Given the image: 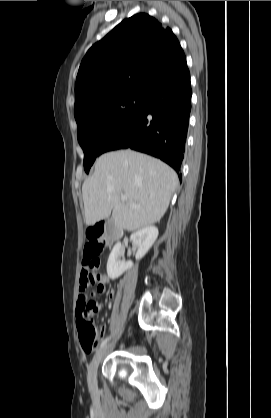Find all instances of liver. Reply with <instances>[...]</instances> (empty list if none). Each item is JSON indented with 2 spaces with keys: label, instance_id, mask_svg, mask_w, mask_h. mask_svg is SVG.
<instances>
[{
  "label": "liver",
  "instance_id": "1",
  "mask_svg": "<svg viewBox=\"0 0 271 418\" xmlns=\"http://www.w3.org/2000/svg\"><path fill=\"white\" fill-rule=\"evenodd\" d=\"M177 184L176 172L156 158L130 149L105 153L82 185L85 223L94 225L112 213L121 230L150 226L165 214Z\"/></svg>",
  "mask_w": 271,
  "mask_h": 418
}]
</instances>
